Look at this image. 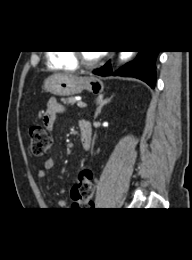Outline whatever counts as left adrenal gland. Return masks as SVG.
<instances>
[{"label":"left adrenal gland","instance_id":"1","mask_svg":"<svg viewBox=\"0 0 192 260\" xmlns=\"http://www.w3.org/2000/svg\"><path fill=\"white\" fill-rule=\"evenodd\" d=\"M113 96H111L110 98H107V99H104L103 98V95H99L96 99V103L98 105L97 109H96V112H95V115H94V118H97L98 115L101 113V110L103 108L104 105H106L107 103H109L111 101Z\"/></svg>","mask_w":192,"mask_h":260}]
</instances>
